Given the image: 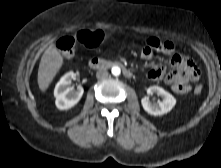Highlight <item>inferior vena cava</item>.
Returning a JSON list of instances; mask_svg holds the SVG:
<instances>
[{
    "instance_id": "1",
    "label": "inferior vena cava",
    "mask_w": 221,
    "mask_h": 168,
    "mask_svg": "<svg viewBox=\"0 0 221 168\" xmlns=\"http://www.w3.org/2000/svg\"><path fill=\"white\" fill-rule=\"evenodd\" d=\"M96 77L98 79H104L108 77V71L106 69H100L96 72Z\"/></svg>"
}]
</instances>
